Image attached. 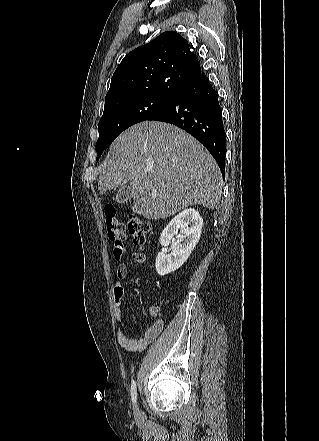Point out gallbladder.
I'll return each instance as SVG.
<instances>
[{"label":"gallbladder","instance_id":"gallbladder-1","mask_svg":"<svg viewBox=\"0 0 319 441\" xmlns=\"http://www.w3.org/2000/svg\"><path fill=\"white\" fill-rule=\"evenodd\" d=\"M132 198L130 186H122L116 193V201L123 204Z\"/></svg>","mask_w":319,"mask_h":441}]
</instances>
